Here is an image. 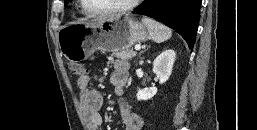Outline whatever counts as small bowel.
Listing matches in <instances>:
<instances>
[{"label":"small bowel","instance_id":"c3829d8e","mask_svg":"<svg viewBox=\"0 0 257 130\" xmlns=\"http://www.w3.org/2000/svg\"><path fill=\"white\" fill-rule=\"evenodd\" d=\"M129 78V64L125 60H118L114 63L110 82L117 96H122ZM80 90V105L89 130H103V119L101 108L103 106L102 94L90 87V79L84 75L77 80ZM118 107L124 130H142V118L131 110L129 103L120 98Z\"/></svg>","mask_w":257,"mask_h":130}]
</instances>
